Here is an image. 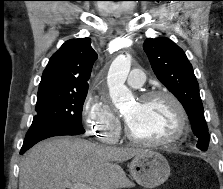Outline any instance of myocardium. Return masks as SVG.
<instances>
[{"label":"myocardium","mask_w":223,"mask_h":189,"mask_svg":"<svg viewBox=\"0 0 223 189\" xmlns=\"http://www.w3.org/2000/svg\"><path fill=\"white\" fill-rule=\"evenodd\" d=\"M161 97L167 98L175 107V110L178 115L177 130L171 136L164 137V138H157V139L144 138V137H140L136 135L132 131L128 121L126 120L125 134L131 141L135 143H139V144L153 145V146L167 145V144H172L180 140L186 134L187 129H188V121H189L188 114L183 103L172 92L167 91V90L147 91L143 93L142 95H140L139 101L146 102V101H149L155 98H161Z\"/></svg>","instance_id":"1"}]
</instances>
